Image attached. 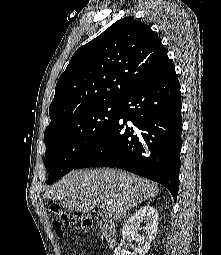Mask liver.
Returning <instances> with one entry per match:
<instances>
[{"label": "liver", "mask_w": 221, "mask_h": 255, "mask_svg": "<svg viewBox=\"0 0 221 255\" xmlns=\"http://www.w3.org/2000/svg\"><path fill=\"white\" fill-rule=\"evenodd\" d=\"M158 192V185L146 178L117 169H90L69 172L46 190L45 198L59 200L65 208L83 213L101 203L109 217L119 220Z\"/></svg>", "instance_id": "liver-1"}]
</instances>
